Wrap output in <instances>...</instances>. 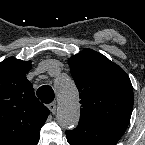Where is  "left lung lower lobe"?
<instances>
[{"label":"left lung lower lobe","instance_id":"1","mask_svg":"<svg viewBox=\"0 0 145 145\" xmlns=\"http://www.w3.org/2000/svg\"><path fill=\"white\" fill-rule=\"evenodd\" d=\"M125 123L79 122L76 129L66 131L70 145H115L124 134Z\"/></svg>","mask_w":145,"mask_h":145}]
</instances>
